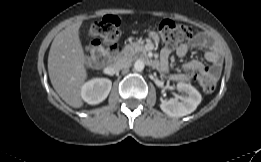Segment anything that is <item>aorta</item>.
<instances>
[{"mask_svg":"<svg viewBox=\"0 0 261 162\" xmlns=\"http://www.w3.org/2000/svg\"><path fill=\"white\" fill-rule=\"evenodd\" d=\"M144 67H145V64H144V62L142 60L135 61L134 69L136 71H142L144 69Z\"/></svg>","mask_w":261,"mask_h":162,"instance_id":"762f6f07","label":"aorta"}]
</instances>
